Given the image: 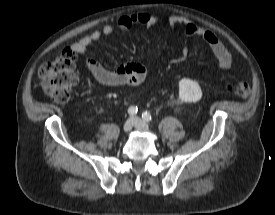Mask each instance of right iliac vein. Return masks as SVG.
<instances>
[{
	"label": "right iliac vein",
	"mask_w": 275,
	"mask_h": 215,
	"mask_svg": "<svg viewBox=\"0 0 275 215\" xmlns=\"http://www.w3.org/2000/svg\"><path fill=\"white\" fill-rule=\"evenodd\" d=\"M133 125H134L133 119H128V120L124 123V126H123L124 131H125V132L131 131Z\"/></svg>",
	"instance_id": "1"
}]
</instances>
